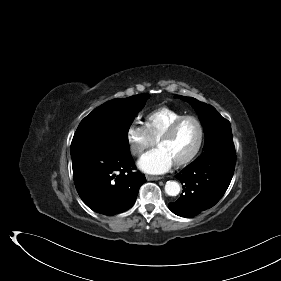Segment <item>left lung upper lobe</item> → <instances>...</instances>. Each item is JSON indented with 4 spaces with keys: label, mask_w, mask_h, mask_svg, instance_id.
Listing matches in <instances>:
<instances>
[{
    "label": "left lung upper lobe",
    "mask_w": 281,
    "mask_h": 281,
    "mask_svg": "<svg viewBox=\"0 0 281 281\" xmlns=\"http://www.w3.org/2000/svg\"><path fill=\"white\" fill-rule=\"evenodd\" d=\"M192 104L198 111L205 132V144L202 155L230 153L235 154L231 126L214 107L192 97L178 96ZM201 155V156H202Z\"/></svg>",
    "instance_id": "1"
}]
</instances>
